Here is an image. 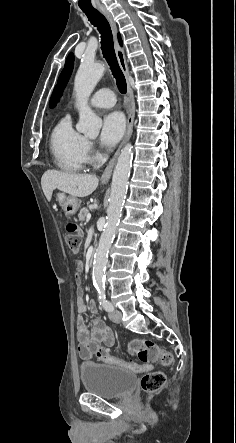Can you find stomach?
Listing matches in <instances>:
<instances>
[{
    "label": "stomach",
    "instance_id": "obj_1",
    "mask_svg": "<svg viewBox=\"0 0 236 443\" xmlns=\"http://www.w3.org/2000/svg\"><path fill=\"white\" fill-rule=\"evenodd\" d=\"M57 201L64 213L68 216L74 215L81 204V201L77 197L71 195L67 196L65 193H58Z\"/></svg>",
    "mask_w": 236,
    "mask_h": 443
}]
</instances>
